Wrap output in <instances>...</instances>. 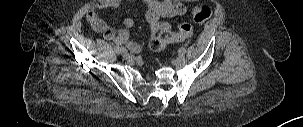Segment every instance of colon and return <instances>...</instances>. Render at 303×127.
I'll use <instances>...</instances> for the list:
<instances>
[{
	"instance_id": "1",
	"label": "colon",
	"mask_w": 303,
	"mask_h": 127,
	"mask_svg": "<svg viewBox=\"0 0 303 127\" xmlns=\"http://www.w3.org/2000/svg\"><path fill=\"white\" fill-rule=\"evenodd\" d=\"M193 19L197 23H203L212 15V10L208 6H195L192 10ZM192 27L188 23H182L177 33L168 30L161 31L156 37L150 40L149 46L152 50H162L173 42L183 41L190 37Z\"/></svg>"
}]
</instances>
